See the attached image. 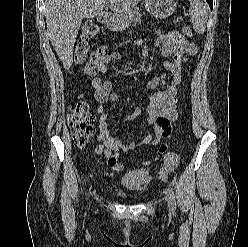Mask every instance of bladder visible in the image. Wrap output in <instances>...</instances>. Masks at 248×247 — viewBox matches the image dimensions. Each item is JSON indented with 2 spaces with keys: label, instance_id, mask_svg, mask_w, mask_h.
<instances>
[{
  "label": "bladder",
  "instance_id": "bladder-1",
  "mask_svg": "<svg viewBox=\"0 0 248 247\" xmlns=\"http://www.w3.org/2000/svg\"><path fill=\"white\" fill-rule=\"evenodd\" d=\"M151 179L148 171L135 170L122 179V184L129 190H142L149 185Z\"/></svg>",
  "mask_w": 248,
  "mask_h": 247
}]
</instances>
